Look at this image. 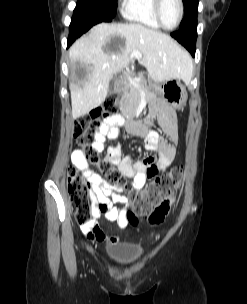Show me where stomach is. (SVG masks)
<instances>
[{
  "label": "stomach",
  "mask_w": 247,
  "mask_h": 304,
  "mask_svg": "<svg viewBox=\"0 0 247 304\" xmlns=\"http://www.w3.org/2000/svg\"><path fill=\"white\" fill-rule=\"evenodd\" d=\"M157 93L172 107L178 109L183 107L187 101L186 89L177 80H172L157 87Z\"/></svg>",
  "instance_id": "1"
}]
</instances>
